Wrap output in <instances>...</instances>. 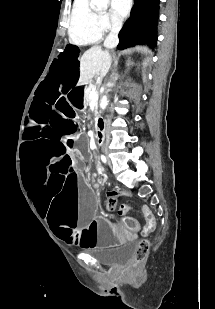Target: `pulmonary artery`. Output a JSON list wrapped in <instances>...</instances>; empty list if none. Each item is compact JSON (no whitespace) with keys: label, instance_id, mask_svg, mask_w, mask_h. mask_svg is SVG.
Returning <instances> with one entry per match:
<instances>
[{"label":"pulmonary artery","instance_id":"1","mask_svg":"<svg viewBox=\"0 0 215 309\" xmlns=\"http://www.w3.org/2000/svg\"><path fill=\"white\" fill-rule=\"evenodd\" d=\"M90 3L87 0H76L75 9L73 11L74 16H87Z\"/></svg>","mask_w":215,"mask_h":309}]
</instances>
